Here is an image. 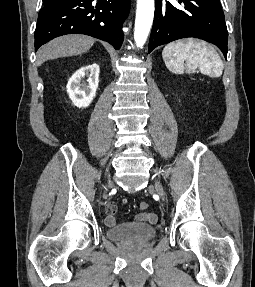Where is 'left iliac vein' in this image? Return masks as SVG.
<instances>
[{"mask_svg": "<svg viewBox=\"0 0 255 287\" xmlns=\"http://www.w3.org/2000/svg\"><path fill=\"white\" fill-rule=\"evenodd\" d=\"M155 187H156V190H157L158 194L160 195L162 201H165V191H164V189H163V187L159 181H156Z\"/></svg>", "mask_w": 255, "mask_h": 287, "instance_id": "1", "label": "left iliac vein"}]
</instances>
